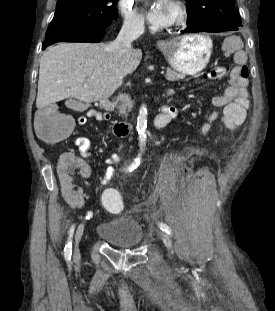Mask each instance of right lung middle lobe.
Wrapping results in <instances>:
<instances>
[{"label":"right lung middle lobe","instance_id":"obj_1","mask_svg":"<svg viewBox=\"0 0 275 311\" xmlns=\"http://www.w3.org/2000/svg\"><path fill=\"white\" fill-rule=\"evenodd\" d=\"M118 0H58L45 39L77 29L108 26L114 21Z\"/></svg>","mask_w":275,"mask_h":311}]
</instances>
